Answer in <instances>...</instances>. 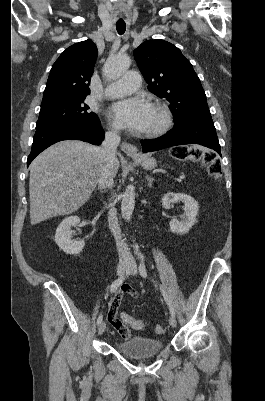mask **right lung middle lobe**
<instances>
[{
    "label": "right lung middle lobe",
    "mask_w": 265,
    "mask_h": 401,
    "mask_svg": "<svg viewBox=\"0 0 265 401\" xmlns=\"http://www.w3.org/2000/svg\"><path fill=\"white\" fill-rule=\"evenodd\" d=\"M85 97L68 98L41 104L36 127L50 123H86L100 124L98 116L89 112V106L84 104Z\"/></svg>",
    "instance_id": "1"
}]
</instances>
